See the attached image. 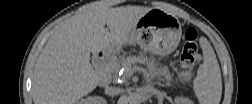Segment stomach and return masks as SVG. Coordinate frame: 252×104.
Returning a JSON list of instances; mask_svg holds the SVG:
<instances>
[{"label": "stomach", "instance_id": "obj_1", "mask_svg": "<svg viewBox=\"0 0 252 104\" xmlns=\"http://www.w3.org/2000/svg\"><path fill=\"white\" fill-rule=\"evenodd\" d=\"M182 24L177 17L162 10L151 9L129 34L128 43L156 55H169L179 45Z\"/></svg>", "mask_w": 252, "mask_h": 104}]
</instances>
